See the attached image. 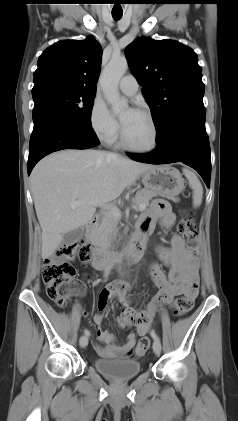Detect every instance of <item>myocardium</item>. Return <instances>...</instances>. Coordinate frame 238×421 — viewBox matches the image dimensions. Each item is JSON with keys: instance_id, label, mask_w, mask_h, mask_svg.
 I'll return each mask as SVG.
<instances>
[{"instance_id": "f54148a6", "label": "myocardium", "mask_w": 238, "mask_h": 421, "mask_svg": "<svg viewBox=\"0 0 238 421\" xmlns=\"http://www.w3.org/2000/svg\"><path fill=\"white\" fill-rule=\"evenodd\" d=\"M135 111L144 115L149 120L152 127V131H153L152 143L149 147H146V148H138V147L133 146L127 140L124 129H123V125H121V128H120L121 144L125 149L134 153H138V154L152 153L157 149L158 144H159V130H158V125L156 123V120L154 119L153 115L146 109L140 108V109H136Z\"/></svg>"}]
</instances>
